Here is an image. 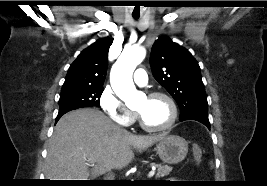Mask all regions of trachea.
<instances>
[{"instance_id":"obj_1","label":"trachea","mask_w":267,"mask_h":186,"mask_svg":"<svg viewBox=\"0 0 267 186\" xmlns=\"http://www.w3.org/2000/svg\"><path fill=\"white\" fill-rule=\"evenodd\" d=\"M138 18H139L138 16H135V17H134V19H136V20H137Z\"/></svg>"}]
</instances>
